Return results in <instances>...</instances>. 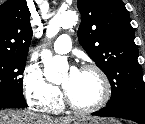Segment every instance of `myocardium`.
Here are the masks:
<instances>
[{
  "label": "myocardium",
  "instance_id": "myocardium-1",
  "mask_svg": "<svg viewBox=\"0 0 145 124\" xmlns=\"http://www.w3.org/2000/svg\"><path fill=\"white\" fill-rule=\"evenodd\" d=\"M79 71H86V72L92 71V72H95L99 76L102 83V90H103L102 96L100 100L96 102L95 104L91 106L83 107V106H78L74 104L72 100L69 98V96L67 95L66 91L64 90L63 92L64 103L71 111L77 114L95 113L101 110L102 108H104L108 104L111 98L112 89H111L110 80L107 74L104 72V70L95 64H84L80 67Z\"/></svg>",
  "mask_w": 145,
  "mask_h": 124
}]
</instances>
